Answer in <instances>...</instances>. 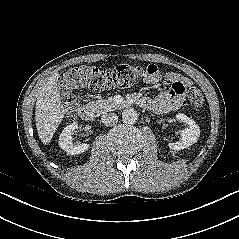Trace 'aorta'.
I'll return each instance as SVG.
<instances>
[{
	"label": "aorta",
	"mask_w": 239,
	"mask_h": 239,
	"mask_svg": "<svg viewBox=\"0 0 239 239\" xmlns=\"http://www.w3.org/2000/svg\"><path fill=\"white\" fill-rule=\"evenodd\" d=\"M138 120V113L133 108H127L122 112V121L126 124H134Z\"/></svg>",
	"instance_id": "1"
}]
</instances>
